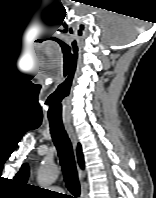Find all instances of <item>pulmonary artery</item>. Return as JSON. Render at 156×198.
Here are the masks:
<instances>
[{"instance_id":"1","label":"pulmonary artery","mask_w":156,"mask_h":198,"mask_svg":"<svg viewBox=\"0 0 156 198\" xmlns=\"http://www.w3.org/2000/svg\"><path fill=\"white\" fill-rule=\"evenodd\" d=\"M52 189L55 190V191H60L59 187H53Z\"/></svg>"}]
</instances>
